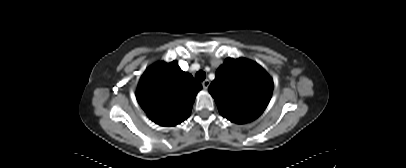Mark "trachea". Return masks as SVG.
I'll use <instances>...</instances> for the list:
<instances>
[{
    "label": "trachea",
    "instance_id": "1",
    "mask_svg": "<svg viewBox=\"0 0 406 168\" xmlns=\"http://www.w3.org/2000/svg\"><path fill=\"white\" fill-rule=\"evenodd\" d=\"M195 77H196V80H198V81L201 82V81L205 80V78H206V73H205L204 71L200 70V71H198V72L196 73Z\"/></svg>",
    "mask_w": 406,
    "mask_h": 168
}]
</instances>
